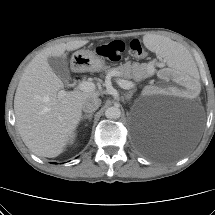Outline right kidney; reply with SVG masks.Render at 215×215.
<instances>
[{
    "instance_id": "1",
    "label": "right kidney",
    "mask_w": 215,
    "mask_h": 215,
    "mask_svg": "<svg viewBox=\"0 0 215 215\" xmlns=\"http://www.w3.org/2000/svg\"><path fill=\"white\" fill-rule=\"evenodd\" d=\"M73 139H74V135L71 136V142L73 141Z\"/></svg>"
}]
</instances>
